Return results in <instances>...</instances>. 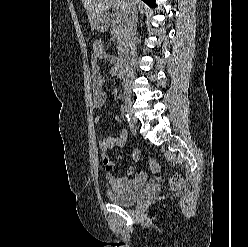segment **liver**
<instances>
[{
  "instance_id": "liver-1",
  "label": "liver",
  "mask_w": 248,
  "mask_h": 247,
  "mask_svg": "<svg viewBox=\"0 0 248 247\" xmlns=\"http://www.w3.org/2000/svg\"><path fill=\"white\" fill-rule=\"evenodd\" d=\"M125 0H82L86 9L91 30L96 28L98 21L104 17V12L111 7L116 9L117 13L124 14Z\"/></svg>"
}]
</instances>
